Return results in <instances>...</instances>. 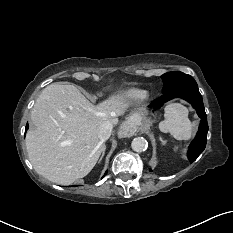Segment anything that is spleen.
Wrapping results in <instances>:
<instances>
[{"instance_id":"1","label":"spleen","mask_w":233,"mask_h":233,"mask_svg":"<svg viewBox=\"0 0 233 233\" xmlns=\"http://www.w3.org/2000/svg\"><path fill=\"white\" fill-rule=\"evenodd\" d=\"M165 119L159 129L169 132L177 140H188L192 135L193 124L188 118V110L180 103H170L165 107Z\"/></svg>"}]
</instances>
